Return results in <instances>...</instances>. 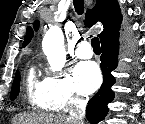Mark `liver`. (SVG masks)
<instances>
[{"label": "liver", "mask_w": 145, "mask_h": 124, "mask_svg": "<svg viewBox=\"0 0 145 124\" xmlns=\"http://www.w3.org/2000/svg\"><path fill=\"white\" fill-rule=\"evenodd\" d=\"M13 124H75L70 118L51 114H20L13 118Z\"/></svg>", "instance_id": "obj_1"}]
</instances>
